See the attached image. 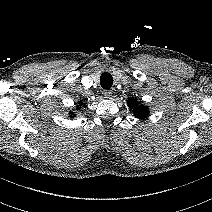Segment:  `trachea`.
I'll list each match as a JSON object with an SVG mask.
<instances>
[{"mask_svg": "<svg viewBox=\"0 0 212 212\" xmlns=\"http://www.w3.org/2000/svg\"><path fill=\"white\" fill-rule=\"evenodd\" d=\"M100 83L103 89H110L113 84V77L110 73L105 72L100 77Z\"/></svg>", "mask_w": 212, "mask_h": 212, "instance_id": "trachea-1", "label": "trachea"}]
</instances>
